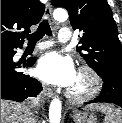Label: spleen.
<instances>
[{"mask_svg":"<svg viewBox=\"0 0 122 123\" xmlns=\"http://www.w3.org/2000/svg\"><path fill=\"white\" fill-rule=\"evenodd\" d=\"M90 111H100L105 114L104 123H122V112L110 104H91L86 107Z\"/></svg>","mask_w":122,"mask_h":123,"instance_id":"3e777b00","label":"spleen"}]
</instances>
